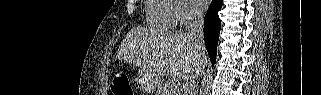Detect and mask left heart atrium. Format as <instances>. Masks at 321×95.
Listing matches in <instances>:
<instances>
[{
  "label": "left heart atrium",
  "instance_id": "39dd6f15",
  "mask_svg": "<svg viewBox=\"0 0 321 95\" xmlns=\"http://www.w3.org/2000/svg\"><path fill=\"white\" fill-rule=\"evenodd\" d=\"M193 2L196 4L197 7L201 9L206 8L208 5L207 0H193Z\"/></svg>",
  "mask_w": 321,
  "mask_h": 95
}]
</instances>
